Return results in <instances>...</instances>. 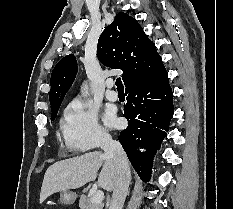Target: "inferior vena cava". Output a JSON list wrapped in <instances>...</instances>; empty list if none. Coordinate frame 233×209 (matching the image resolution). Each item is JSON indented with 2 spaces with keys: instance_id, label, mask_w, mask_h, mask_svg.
Returning a JSON list of instances; mask_svg holds the SVG:
<instances>
[{
  "instance_id": "inferior-vena-cava-1",
  "label": "inferior vena cava",
  "mask_w": 233,
  "mask_h": 209,
  "mask_svg": "<svg viewBox=\"0 0 233 209\" xmlns=\"http://www.w3.org/2000/svg\"><path fill=\"white\" fill-rule=\"evenodd\" d=\"M100 146L104 154L113 159L116 166L117 177L109 209H122L131 179L126 153L121 144L110 136H103Z\"/></svg>"
}]
</instances>
